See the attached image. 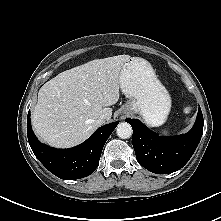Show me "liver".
I'll use <instances>...</instances> for the list:
<instances>
[{
  "instance_id": "liver-1",
  "label": "liver",
  "mask_w": 221,
  "mask_h": 221,
  "mask_svg": "<svg viewBox=\"0 0 221 221\" xmlns=\"http://www.w3.org/2000/svg\"><path fill=\"white\" fill-rule=\"evenodd\" d=\"M131 57L118 55L89 61L59 73L38 92L31 114L36 134L53 147L68 148L85 141L112 116L120 96V73Z\"/></svg>"
}]
</instances>
